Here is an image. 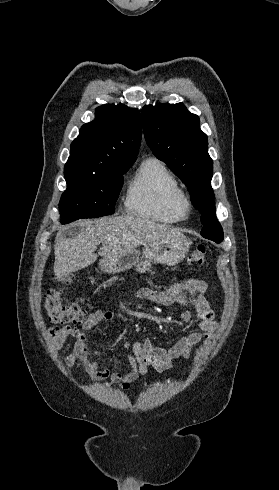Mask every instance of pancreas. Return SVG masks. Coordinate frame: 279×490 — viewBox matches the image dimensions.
Instances as JSON below:
<instances>
[{"label": "pancreas", "instance_id": "1", "mask_svg": "<svg viewBox=\"0 0 279 490\" xmlns=\"http://www.w3.org/2000/svg\"><path fill=\"white\" fill-rule=\"evenodd\" d=\"M150 268H151V262H139V264H137L136 266V270L137 272H139V274H145V272H151Z\"/></svg>", "mask_w": 279, "mask_h": 490}]
</instances>
